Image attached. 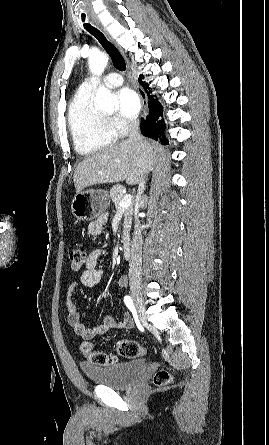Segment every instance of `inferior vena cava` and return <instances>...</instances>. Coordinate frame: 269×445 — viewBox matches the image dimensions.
<instances>
[{
	"instance_id": "1",
	"label": "inferior vena cava",
	"mask_w": 269,
	"mask_h": 445,
	"mask_svg": "<svg viewBox=\"0 0 269 445\" xmlns=\"http://www.w3.org/2000/svg\"><path fill=\"white\" fill-rule=\"evenodd\" d=\"M128 141L143 143L144 140L141 136L139 129V120L131 118L128 124ZM146 172V171H145ZM145 189V176L139 183L138 187V199H141V195ZM142 227L138 219H136L133 241L131 245V254L129 261V279L130 281L141 280L142 273Z\"/></svg>"
}]
</instances>
